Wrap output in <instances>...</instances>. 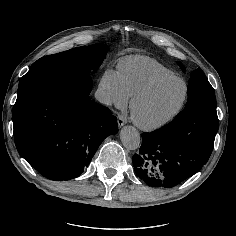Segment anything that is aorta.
Wrapping results in <instances>:
<instances>
[{
  "mask_svg": "<svg viewBox=\"0 0 236 236\" xmlns=\"http://www.w3.org/2000/svg\"><path fill=\"white\" fill-rule=\"evenodd\" d=\"M120 139L123 146L128 150H136L139 148L141 138L133 126H125L120 132Z\"/></svg>",
  "mask_w": 236,
  "mask_h": 236,
  "instance_id": "1",
  "label": "aorta"
}]
</instances>
